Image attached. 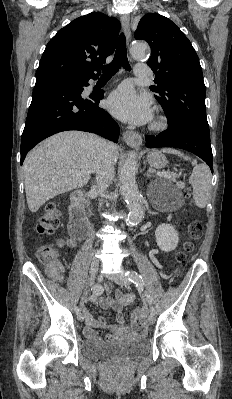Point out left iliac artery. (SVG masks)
<instances>
[{
    "mask_svg": "<svg viewBox=\"0 0 232 399\" xmlns=\"http://www.w3.org/2000/svg\"><path fill=\"white\" fill-rule=\"evenodd\" d=\"M125 276L128 278L129 281L134 283L140 293H142L144 289V280L140 274H138L136 271L131 270V271H126ZM150 312L151 315L155 316L156 315V309L151 305L150 307Z\"/></svg>",
    "mask_w": 232,
    "mask_h": 399,
    "instance_id": "left-iliac-artery-1",
    "label": "left iliac artery"
}]
</instances>
